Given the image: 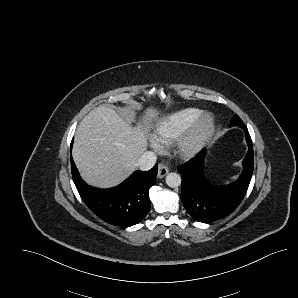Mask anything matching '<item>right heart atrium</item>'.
<instances>
[{
    "mask_svg": "<svg viewBox=\"0 0 298 298\" xmlns=\"http://www.w3.org/2000/svg\"><path fill=\"white\" fill-rule=\"evenodd\" d=\"M146 143L154 153H161L166 148V140L158 131H151L146 136Z\"/></svg>",
    "mask_w": 298,
    "mask_h": 298,
    "instance_id": "d8ad5b80",
    "label": "right heart atrium"
}]
</instances>
